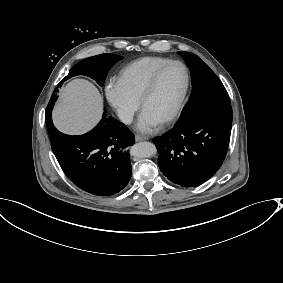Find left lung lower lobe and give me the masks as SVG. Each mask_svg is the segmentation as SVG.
<instances>
[{"label": "left lung lower lobe", "mask_w": 283, "mask_h": 283, "mask_svg": "<svg viewBox=\"0 0 283 283\" xmlns=\"http://www.w3.org/2000/svg\"><path fill=\"white\" fill-rule=\"evenodd\" d=\"M232 107L203 109L153 139L158 165L173 183L193 187L211 178L222 165L230 140Z\"/></svg>", "instance_id": "obj_1"}]
</instances>
